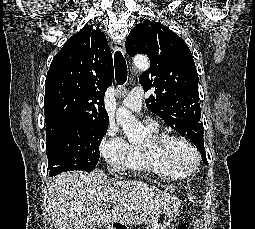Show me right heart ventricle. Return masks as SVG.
<instances>
[{
	"label": "right heart ventricle",
	"instance_id": "right-heart-ventricle-1",
	"mask_svg": "<svg viewBox=\"0 0 255 229\" xmlns=\"http://www.w3.org/2000/svg\"><path fill=\"white\" fill-rule=\"evenodd\" d=\"M156 132V129L153 128ZM124 167L141 172L153 173L165 179H180L190 175L188 170H172L161 161L147 145V142L129 145Z\"/></svg>",
	"mask_w": 255,
	"mask_h": 229
}]
</instances>
